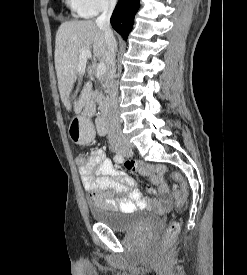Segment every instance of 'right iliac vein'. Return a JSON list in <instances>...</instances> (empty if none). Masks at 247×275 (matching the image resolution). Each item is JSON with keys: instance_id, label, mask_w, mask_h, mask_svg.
Listing matches in <instances>:
<instances>
[{"instance_id": "obj_1", "label": "right iliac vein", "mask_w": 247, "mask_h": 275, "mask_svg": "<svg viewBox=\"0 0 247 275\" xmlns=\"http://www.w3.org/2000/svg\"><path fill=\"white\" fill-rule=\"evenodd\" d=\"M130 148H131L130 143L126 142L123 146L116 147V148H115V151H116L117 153L123 154L124 152H126V151L129 150Z\"/></svg>"}]
</instances>
